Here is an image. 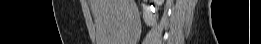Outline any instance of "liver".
<instances>
[{"label":"liver","mask_w":261,"mask_h":44,"mask_svg":"<svg viewBox=\"0 0 261 44\" xmlns=\"http://www.w3.org/2000/svg\"><path fill=\"white\" fill-rule=\"evenodd\" d=\"M97 30V44H133L131 25L138 14L134 0H89Z\"/></svg>","instance_id":"6515ba94"}]
</instances>
